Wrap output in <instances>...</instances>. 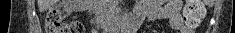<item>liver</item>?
I'll return each instance as SVG.
<instances>
[{
    "instance_id": "6515ba94",
    "label": "liver",
    "mask_w": 235,
    "mask_h": 33,
    "mask_svg": "<svg viewBox=\"0 0 235 33\" xmlns=\"http://www.w3.org/2000/svg\"><path fill=\"white\" fill-rule=\"evenodd\" d=\"M56 3L55 0H38V8L40 12H43L53 6Z\"/></svg>"
}]
</instances>
